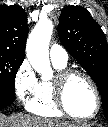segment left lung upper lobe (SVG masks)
Here are the masks:
<instances>
[{
    "instance_id": "obj_1",
    "label": "left lung upper lobe",
    "mask_w": 108,
    "mask_h": 127,
    "mask_svg": "<svg viewBox=\"0 0 108 127\" xmlns=\"http://www.w3.org/2000/svg\"><path fill=\"white\" fill-rule=\"evenodd\" d=\"M58 35L97 84L108 119V44L103 31L84 7L66 6L59 17Z\"/></svg>"
}]
</instances>
